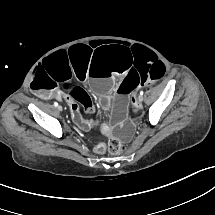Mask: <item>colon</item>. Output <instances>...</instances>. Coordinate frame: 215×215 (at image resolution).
Masks as SVG:
<instances>
[{"instance_id":"5ec220e1","label":"colon","mask_w":215,"mask_h":215,"mask_svg":"<svg viewBox=\"0 0 215 215\" xmlns=\"http://www.w3.org/2000/svg\"><path fill=\"white\" fill-rule=\"evenodd\" d=\"M77 96H78V99L81 100L85 104L86 112L89 114H94L96 111L95 104L93 102L89 101L88 98H86L81 92L78 93ZM109 149L113 153H120L125 149V147L120 141L112 140L109 143Z\"/></svg>"}]
</instances>
